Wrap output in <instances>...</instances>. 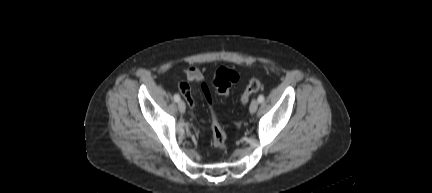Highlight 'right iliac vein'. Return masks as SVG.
<instances>
[{
    "mask_svg": "<svg viewBox=\"0 0 432 193\" xmlns=\"http://www.w3.org/2000/svg\"><path fill=\"white\" fill-rule=\"evenodd\" d=\"M178 109H179V111L181 112V113H184L185 112V110H186V105H185V103H184V101H179L178 102Z\"/></svg>",
    "mask_w": 432,
    "mask_h": 193,
    "instance_id": "obj_1",
    "label": "right iliac vein"
}]
</instances>
